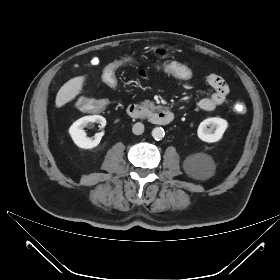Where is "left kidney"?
I'll return each mask as SVG.
<instances>
[{
  "instance_id": "1",
  "label": "left kidney",
  "mask_w": 280,
  "mask_h": 280,
  "mask_svg": "<svg viewBox=\"0 0 280 280\" xmlns=\"http://www.w3.org/2000/svg\"><path fill=\"white\" fill-rule=\"evenodd\" d=\"M211 125V128L207 126ZM228 127V122L219 117H211L203 120L197 130L198 137L208 143L219 141L225 130ZM215 129V130H214Z\"/></svg>"
}]
</instances>
